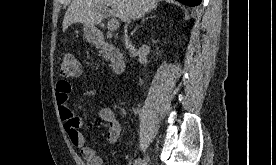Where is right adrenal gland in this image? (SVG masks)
Segmentation results:
<instances>
[{
    "instance_id": "right-adrenal-gland-1",
    "label": "right adrenal gland",
    "mask_w": 276,
    "mask_h": 165,
    "mask_svg": "<svg viewBox=\"0 0 276 165\" xmlns=\"http://www.w3.org/2000/svg\"><path fill=\"white\" fill-rule=\"evenodd\" d=\"M155 16H152L151 15V18H154ZM149 17L147 16V17H143L142 19H141V23H144L145 22V20H147ZM137 27L138 26H136L135 28H134V31L137 29Z\"/></svg>"
}]
</instances>
